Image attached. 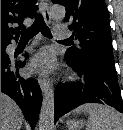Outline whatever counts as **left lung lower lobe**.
I'll return each mask as SVG.
<instances>
[{
    "mask_svg": "<svg viewBox=\"0 0 123 130\" xmlns=\"http://www.w3.org/2000/svg\"><path fill=\"white\" fill-rule=\"evenodd\" d=\"M67 64L84 76L83 82L57 85L55 122L64 114L85 103H101L123 113V102L114 68L98 62L76 61L65 56Z\"/></svg>",
    "mask_w": 123,
    "mask_h": 130,
    "instance_id": "obj_1",
    "label": "left lung lower lobe"
}]
</instances>
